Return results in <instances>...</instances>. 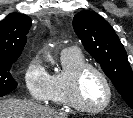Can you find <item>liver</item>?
Returning a JSON list of instances; mask_svg holds the SVG:
<instances>
[{"label":"liver","mask_w":133,"mask_h":118,"mask_svg":"<svg viewBox=\"0 0 133 118\" xmlns=\"http://www.w3.org/2000/svg\"><path fill=\"white\" fill-rule=\"evenodd\" d=\"M0 118H67V115L31 101L11 98L0 101Z\"/></svg>","instance_id":"liver-1"}]
</instances>
